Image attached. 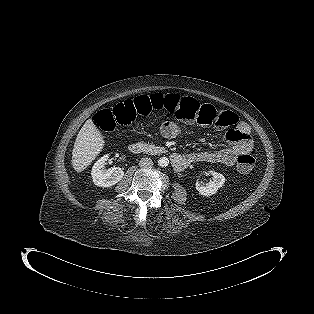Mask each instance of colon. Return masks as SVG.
Returning a JSON list of instances; mask_svg holds the SVG:
<instances>
[{
  "mask_svg": "<svg viewBox=\"0 0 314 314\" xmlns=\"http://www.w3.org/2000/svg\"><path fill=\"white\" fill-rule=\"evenodd\" d=\"M166 110L176 119L185 122H196L225 129L236 123L237 119L229 111H217L213 106L201 104L196 99L178 94L141 95L125 100L112 109H103L94 117L96 128L113 132L118 126H129L138 118L147 117L154 111ZM255 166V158L244 153L237 158V169L241 173H248Z\"/></svg>",
  "mask_w": 314,
  "mask_h": 314,
  "instance_id": "1",
  "label": "colon"
}]
</instances>
